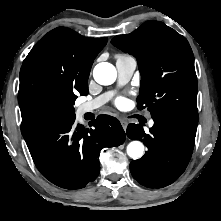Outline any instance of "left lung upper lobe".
<instances>
[{"mask_svg": "<svg viewBox=\"0 0 221 221\" xmlns=\"http://www.w3.org/2000/svg\"><path fill=\"white\" fill-rule=\"evenodd\" d=\"M111 43L138 61L140 110L198 123L194 56L185 37L151 20L130 34L115 36Z\"/></svg>", "mask_w": 221, "mask_h": 221, "instance_id": "1", "label": "left lung upper lobe"}]
</instances>
